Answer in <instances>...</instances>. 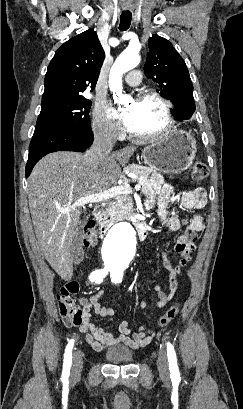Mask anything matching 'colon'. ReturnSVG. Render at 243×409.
Wrapping results in <instances>:
<instances>
[{
  "mask_svg": "<svg viewBox=\"0 0 243 409\" xmlns=\"http://www.w3.org/2000/svg\"><path fill=\"white\" fill-rule=\"evenodd\" d=\"M190 175L196 181H203L208 176L207 166L199 160L192 163L190 167ZM97 242V237L94 232L93 223H89L85 227L83 234V244L90 248ZM79 284L76 281L67 282L63 285L57 294L58 312L66 325L76 326L83 321V309L76 303L73 296L78 293ZM180 311L178 303L170 306L167 311L158 319V326H166L173 321Z\"/></svg>",
  "mask_w": 243,
  "mask_h": 409,
  "instance_id": "obj_1",
  "label": "colon"
}]
</instances>
